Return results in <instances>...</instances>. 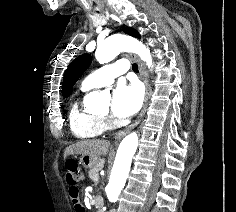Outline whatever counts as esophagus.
Here are the masks:
<instances>
[{
	"label": "esophagus",
	"mask_w": 236,
	"mask_h": 212,
	"mask_svg": "<svg viewBox=\"0 0 236 212\" xmlns=\"http://www.w3.org/2000/svg\"><path fill=\"white\" fill-rule=\"evenodd\" d=\"M130 57H131V59H134L138 64L140 77L143 80L144 85H145V99H144L143 107L138 115V118L131 125H129L128 127H126L123 130L118 131L115 134L116 141L121 140L126 134H128L134 127H136L140 123L142 117L144 116V114L146 112V108H147V101H148V94H149V83H148V79H147V74H146V71H145L144 66H143L142 62L140 61V59L134 54H130Z\"/></svg>",
	"instance_id": "1"
}]
</instances>
